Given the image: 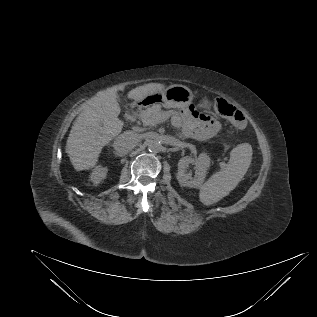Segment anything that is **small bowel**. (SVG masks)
<instances>
[{
    "label": "small bowel",
    "mask_w": 317,
    "mask_h": 317,
    "mask_svg": "<svg viewBox=\"0 0 317 317\" xmlns=\"http://www.w3.org/2000/svg\"><path fill=\"white\" fill-rule=\"evenodd\" d=\"M172 122L183 137L195 140L209 139L220 129L219 122L208 114H200L198 118H194L184 113L175 115ZM239 129H243V127Z\"/></svg>",
    "instance_id": "small-bowel-1"
}]
</instances>
